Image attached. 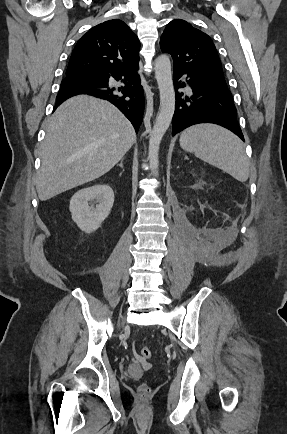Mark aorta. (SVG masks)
Here are the masks:
<instances>
[{
	"mask_svg": "<svg viewBox=\"0 0 287 434\" xmlns=\"http://www.w3.org/2000/svg\"><path fill=\"white\" fill-rule=\"evenodd\" d=\"M155 77L160 92V107L149 139L148 159L152 173L158 176L159 147L175 111V91L172 79L171 61L162 54L155 61Z\"/></svg>",
	"mask_w": 287,
	"mask_h": 434,
	"instance_id": "762f6f07",
	"label": "aorta"
}]
</instances>
